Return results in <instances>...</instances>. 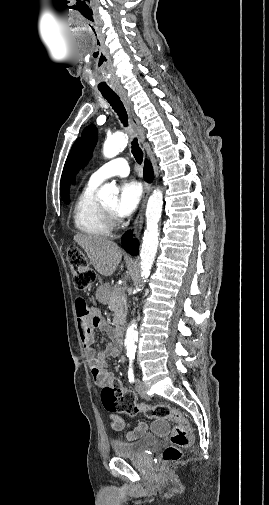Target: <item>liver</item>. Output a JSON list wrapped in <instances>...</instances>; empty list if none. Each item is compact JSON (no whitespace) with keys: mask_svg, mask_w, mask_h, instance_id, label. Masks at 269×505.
I'll use <instances>...</instances> for the list:
<instances>
[{"mask_svg":"<svg viewBox=\"0 0 269 505\" xmlns=\"http://www.w3.org/2000/svg\"><path fill=\"white\" fill-rule=\"evenodd\" d=\"M73 239L84 249L90 263L99 274L107 277L115 272L122 258V252L116 243L81 233L76 234ZM120 269L123 270V264Z\"/></svg>","mask_w":269,"mask_h":505,"instance_id":"obj_1","label":"liver"}]
</instances>
